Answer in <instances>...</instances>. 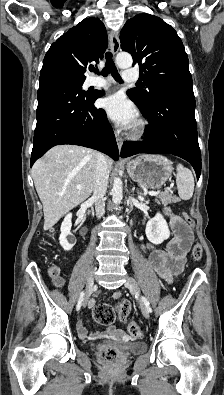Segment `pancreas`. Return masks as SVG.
Here are the masks:
<instances>
[{
  "label": "pancreas",
  "mask_w": 224,
  "mask_h": 395,
  "mask_svg": "<svg viewBox=\"0 0 224 395\" xmlns=\"http://www.w3.org/2000/svg\"><path fill=\"white\" fill-rule=\"evenodd\" d=\"M158 199L162 202V204L167 205L173 202H177L179 199L174 196L172 193L169 192H162L159 193L156 196V201H158Z\"/></svg>",
  "instance_id": "obj_1"
}]
</instances>
